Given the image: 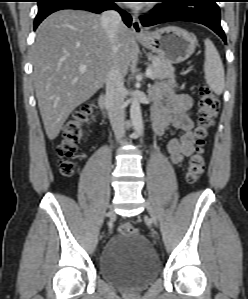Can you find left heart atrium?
I'll use <instances>...</instances> for the list:
<instances>
[{
  "instance_id": "left-heart-atrium-1",
  "label": "left heart atrium",
  "mask_w": 248,
  "mask_h": 299,
  "mask_svg": "<svg viewBox=\"0 0 248 299\" xmlns=\"http://www.w3.org/2000/svg\"><path fill=\"white\" fill-rule=\"evenodd\" d=\"M143 2H133V4L132 5H134V6H138V5H141Z\"/></svg>"
}]
</instances>
